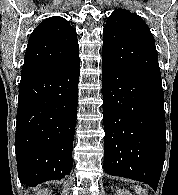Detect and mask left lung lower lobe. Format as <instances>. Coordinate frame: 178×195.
I'll return each instance as SVG.
<instances>
[{"mask_svg":"<svg viewBox=\"0 0 178 195\" xmlns=\"http://www.w3.org/2000/svg\"><path fill=\"white\" fill-rule=\"evenodd\" d=\"M104 171L158 186L165 159L162 84L102 58Z\"/></svg>","mask_w":178,"mask_h":195,"instance_id":"obj_1","label":"left lung lower lobe"}]
</instances>
